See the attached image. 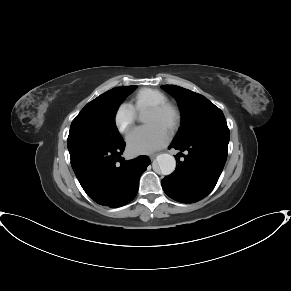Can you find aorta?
Instances as JSON below:
<instances>
[{"instance_id": "obj_1", "label": "aorta", "mask_w": 291, "mask_h": 291, "mask_svg": "<svg viewBox=\"0 0 291 291\" xmlns=\"http://www.w3.org/2000/svg\"><path fill=\"white\" fill-rule=\"evenodd\" d=\"M141 116L139 117V120L141 121ZM157 166L160 170V172L163 175H170L173 173L176 167V160L175 158L170 154H160L156 158Z\"/></svg>"}]
</instances>
